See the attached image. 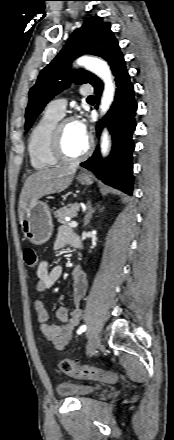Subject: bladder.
Here are the masks:
<instances>
[{"label":"bladder","mask_w":174,"mask_h":440,"mask_svg":"<svg viewBox=\"0 0 174 440\" xmlns=\"http://www.w3.org/2000/svg\"><path fill=\"white\" fill-rule=\"evenodd\" d=\"M96 386L86 383L63 382L56 386V391L60 396L85 397L92 394Z\"/></svg>","instance_id":"bladder-1"}]
</instances>
